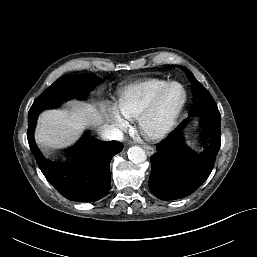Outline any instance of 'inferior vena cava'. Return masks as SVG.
Wrapping results in <instances>:
<instances>
[{"mask_svg":"<svg viewBox=\"0 0 257 257\" xmlns=\"http://www.w3.org/2000/svg\"><path fill=\"white\" fill-rule=\"evenodd\" d=\"M109 135L112 139L121 140L123 137L122 131H120L117 128H110L109 129Z\"/></svg>","mask_w":257,"mask_h":257,"instance_id":"1","label":"inferior vena cava"}]
</instances>
